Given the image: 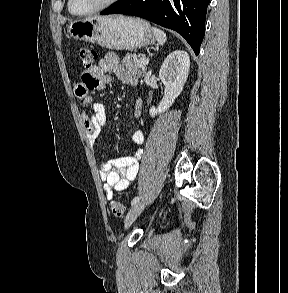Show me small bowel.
Wrapping results in <instances>:
<instances>
[{
  "instance_id": "obj_1",
  "label": "small bowel",
  "mask_w": 288,
  "mask_h": 293,
  "mask_svg": "<svg viewBox=\"0 0 288 293\" xmlns=\"http://www.w3.org/2000/svg\"><path fill=\"white\" fill-rule=\"evenodd\" d=\"M112 73L127 85H137V78L124 68L118 55L110 52L92 70L82 73L81 81L75 88V94L80 99L81 117L86 136L91 145H95L102 129L105 127L107 113L104 105L95 102L90 92L105 89L111 83ZM141 106L142 102L138 99L135 107L137 117L141 113ZM131 139L139 147L144 143V133L141 130H136L132 133ZM142 154L143 150L139 147L130 156L101 161L100 176L108 199L113 197V191L123 193L131 187L137 176Z\"/></svg>"
}]
</instances>
